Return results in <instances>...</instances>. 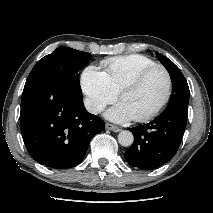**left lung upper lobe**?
<instances>
[{"label": "left lung upper lobe", "instance_id": "left-lung-upper-lobe-1", "mask_svg": "<svg viewBox=\"0 0 213 213\" xmlns=\"http://www.w3.org/2000/svg\"><path fill=\"white\" fill-rule=\"evenodd\" d=\"M158 58L168 70L174 85L171 101L167 108L179 107L188 110L189 87L185 77L180 69L170 59L160 53H158Z\"/></svg>", "mask_w": 213, "mask_h": 213}]
</instances>
